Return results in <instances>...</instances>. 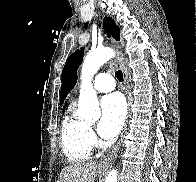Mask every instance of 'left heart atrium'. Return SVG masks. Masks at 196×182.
<instances>
[{"instance_id": "obj_1", "label": "left heart atrium", "mask_w": 196, "mask_h": 182, "mask_svg": "<svg viewBox=\"0 0 196 182\" xmlns=\"http://www.w3.org/2000/svg\"><path fill=\"white\" fill-rule=\"evenodd\" d=\"M100 106L101 118L98 123V131L103 138H113L120 132L125 121V101L120 94L113 93L104 96Z\"/></svg>"}]
</instances>
